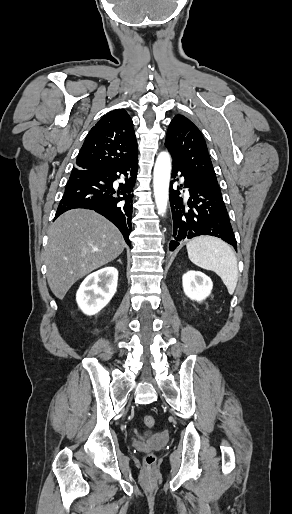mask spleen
Listing matches in <instances>:
<instances>
[{
  "label": "spleen",
  "mask_w": 292,
  "mask_h": 514,
  "mask_svg": "<svg viewBox=\"0 0 292 514\" xmlns=\"http://www.w3.org/2000/svg\"><path fill=\"white\" fill-rule=\"evenodd\" d=\"M188 258L199 268L220 276L229 294H234L238 282L237 258L231 246L213 236H199L186 244Z\"/></svg>",
  "instance_id": "obj_1"
}]
</instances>
